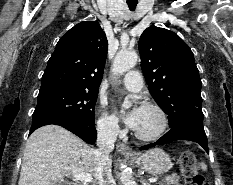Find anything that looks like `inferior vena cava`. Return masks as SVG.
<instances>
[{"label": "inferior vena cava", "mask_w": 233, "mask_h": 185, "mask_svg": "<svg viewBox=\"0 0 233 185\" xmlns=\"http://www.w3.org/2000/svg\"><path fill=\"white\" fill-rule=\"evenodd\" d=\"M118 129L116 125L100 126L97 129V146L95 150L96 179L99 185H115L109 164V154L114 149Z\"/></svg>", "instance_id": "602c4592"}]
</instances>
